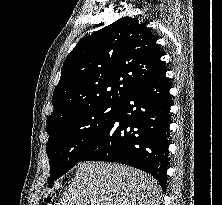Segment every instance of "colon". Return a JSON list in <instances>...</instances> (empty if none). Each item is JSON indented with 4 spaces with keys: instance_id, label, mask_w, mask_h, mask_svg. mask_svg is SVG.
<instances>
[{
    "instance_id": "obj_1",
    "label": "colon",
    "mask_w": 222,
    "mask_h": 205,
    "mask_svg": "<svg viewBox=\"0 0 222 205\" xmlns=\"http://www.w3.org/2000/svg\"><path fill=\"white\" fill-rule=\"evenodd\" d=\"M42 205H54V202L52 200L48 199L45 202H43Z\"/></svg>"
}]
</instances>
